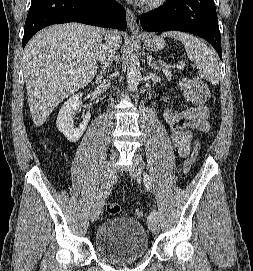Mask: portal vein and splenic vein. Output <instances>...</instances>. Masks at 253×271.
<instances>
[{"mask_svg":"<svg viewBox=\"0 0 253 271\" xmlns=\"http://www.w3.org/2000/svg\"><path fill=\"white\" fill-rule=\"evenodd\" d=\"M173 68H177V69H182L185 67V64L184 63H180V64H177V65H173L172 66Z\"/></svg>","mask_w":253,"mask_h":271,"instance_id":"18ae733b","label":"portal vein and splenic vein"}]
</instances>
